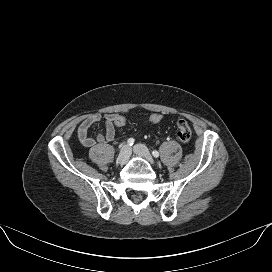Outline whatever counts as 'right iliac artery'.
<instances>
[{
    "mask_svg": "<svg viewBox=\"0 0 272 272\" xmlns=\"http://www.w3.org/2000/svg\"><path fill=\"white\" fill-rule=\"evenodd\" d=\"M134 141L135 140L133 138H129L127 143H128L129 146H132L134 144Z\"/></svg>",
    "mask_w": 272,
    "mask_h": 272,
    "instance_id": "obj_1",
    "label": "right iliac artery"
}]
</instances>
